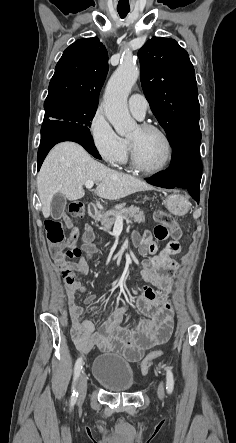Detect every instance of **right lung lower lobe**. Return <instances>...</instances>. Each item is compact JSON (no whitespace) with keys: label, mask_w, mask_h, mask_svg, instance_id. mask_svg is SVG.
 I'll return each mask as SVG.
<instances>
[{"label":"right lung lower lobe","mask_w":236,"mask_h":443,"mask_svg":"<svg viewBox=\"0 0 236 443\" xmlns=\"http://www.w3.org/2000/svg\"><path fill=\"white\" fill-rule=\"evenodd\" d=\"M62 141L77 142L95 158L101 159V156L93 144L91 134L77 131L68 122L53 120L43 123L41 128V141L38 150V170L50 149Z\"/></svg>","instance_id":"98d812e1"}]
</instances>
